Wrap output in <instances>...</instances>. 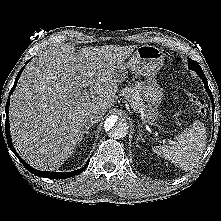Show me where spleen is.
<instances>
[{"label":"spleen","mask_w":221,"mask_h":221,"mask_svg":"<svg viewBox=\"0 0 221 221\" xmlns=\"http://www.w3.org/2000/svg\"><path fill=\"white\" fill-rule=\"evenodd\" d=\"M205 143V128L201 122L196 121L185 129L172 145H160L152 150L155 154L187 171L199 161Z\"/></svg>","instance_id":"1"}]
</instances>
